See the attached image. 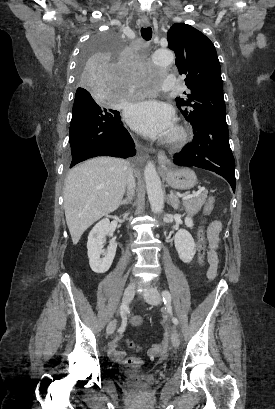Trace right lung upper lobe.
I'll use <instances>...</instances> for the list:
<instances>
[{"label": "right lung upper lobe", "mask_w": 275, "mask_h": 409, "mask_svg": "<svg viewBox=\"0 0 275 409\" xmlns=\"http://www.w3.org/2000/svg\"><path fill=\"white\" fill-rule=\"evenodd\" d=\"M77 91H84V90H80V89L78 88Z\"/></svg>", "instance_id": "obj_1"}]
</instances>
